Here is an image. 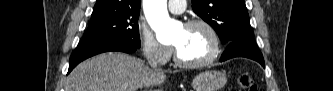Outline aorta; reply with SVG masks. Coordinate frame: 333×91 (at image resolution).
I'll return each instance as SVG.
<instances>
[{
	"mask_svg": "<svg viewBox=\"0 0 333 91\" xmlns=\"http://www.w3.org/2000/svg\"><path fill=\"white\" fill-rule=\"evenodd\" d=\"M143 9L157 40L161 43L171 42L178 24L169 17L167 0H144Z\"/></svg>",
	"mask_w": 333,
	"mask_h": 91,
	"instance_id": "762f6f07",
	"label": "aorta"
}]
</instances>
